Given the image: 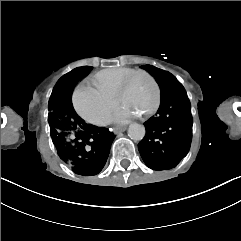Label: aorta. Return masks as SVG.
<instances>
[{
  "label": "aorta",
  "mask_w": 241,
  "mask_h": 241,
  "mask_svg": "<svg viewBox=\"0 0 241 241\" xmlns=\"http://www.w3.org/2000/svg\"><path fill=\"white\" fill-rule=\"evenodd\" d=\"M146 134L145 127L141 124L134 123L129 126L128 136L135 141H141Z\"/></svg>",
  "instance_id": "aorta-1"
}]
</instances>
